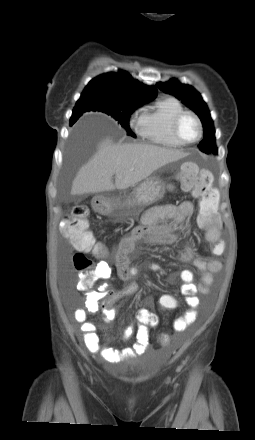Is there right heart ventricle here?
Listing matches in <instances>:
<instances>
[{
  "mask_svg": "<svg viewBox=\"0 0 255 440\" xmlns=\"http://www.w3.org/2000/svg\"><path fill=\"white\" fill-rule=\"evenodd\" d=\"M185 110L183 104L174 96L158 99L147 108L139 120L138 132L145 140L168 148H180L172 132L174 118Z\"/></svg>",
  "mask_w": 255,
  "mask_h": 440,
  "instance_id": "1",
  "label": "right heart ventricle"
}]
</instances>
